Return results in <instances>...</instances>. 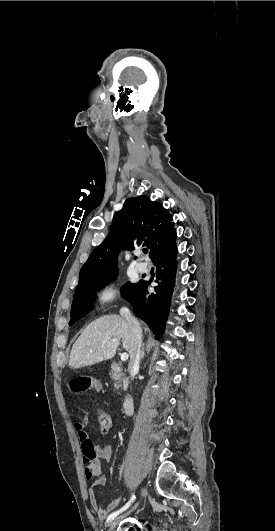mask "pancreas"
Segmentation results:
<instances>
[{"instance_id": "obj_1", "label": "pancreas", "mask_w": 275, "mask_h": 531, "mask_svg": "<svg viewBox=\"0 0 275 531\" xmlns=\"http://www.w3.org/2000/svg\"><path fill=\"white\" fill-rule=\"evenodd\" d=\"M114 367V363L112 365ZM109 375H111V379H114L116 381L114 387H126L128 385L129 381L126 379V377H122L121 373H117V371H110Z\"/></svg>"}]
</instances>
